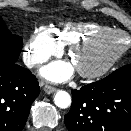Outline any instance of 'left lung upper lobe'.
I'll return each instance as SVG.
<instances>
[{
  "mask_svg": "<svg viewBox=\"0 0 131 131\" xmlns=\"http://www.w3.org/2000/svg\"><path fill=\"white\" fill-rule=\"evenodd\" d=\"M107 79H131V64L117 69L112 74L107 76Z\"/></svg>",
  "mask_w": 131,
  "mask_h": 131,
  "instance_id": "obj_1",
  "label": "left lung upper lobe"
}]
</instances>
